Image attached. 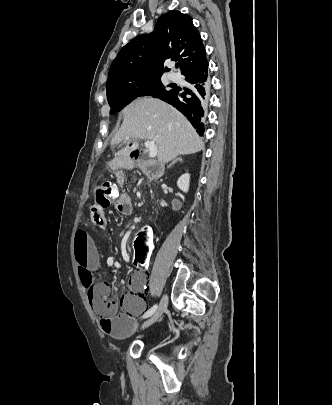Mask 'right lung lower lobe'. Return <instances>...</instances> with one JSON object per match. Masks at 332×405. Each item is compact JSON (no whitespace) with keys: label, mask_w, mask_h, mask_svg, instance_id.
Listing matches in <instances>:
<instances>
[{"label":"right lung lower lobe","mask_w":332,"mask_h":405,"mask_svg":"<svg viewBox=\"0 0 332 405\" xmlns=\"http://www.w3.org/2000/svg\"><path fill=\"white\" fill-rule=\"evenodd\" d=\"M182 75L192 84V89L174 87L159 98L183 113L202 136L204 125L201 120L208 105L210 89L207 59L187 69Z\"/></svg>","instance_id":"right-lung-lower-lobe-1"}]
</instances>
